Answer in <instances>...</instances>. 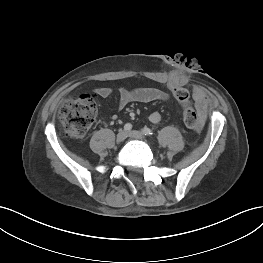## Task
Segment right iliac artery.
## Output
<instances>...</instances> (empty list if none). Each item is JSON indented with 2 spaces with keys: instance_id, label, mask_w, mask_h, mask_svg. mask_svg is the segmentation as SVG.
Listing matches in <instances>:
<instances>
[{
  "instance_id": "1",
  "label": "right iliac artery",
  "mask_w": 263,
  "mask_h": 263,
  "mask_svg": "<svg viewBox=\"0 0 263 263\" xmlns=\"http://www.w3.org/2000/svg\"><path fill=\"white\" fill-rule=\"evenodd\" d=\"M132 129V125L130 123H127L124 125V130L125 131H130Z\"/></svg>"
}]
</instances>
